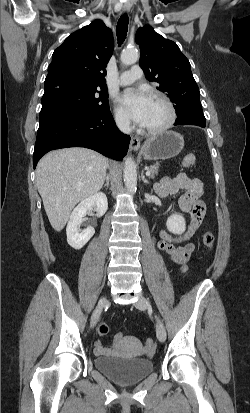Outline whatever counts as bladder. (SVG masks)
Segmentation results:
<instances>
[{
    "label": "bladder",
    "mask_w": 250,
    "mask_h": 413,
    "mask_svg": "<svg viewBox=\"0 0 250 413\" xmlns=\"http://www.w3.org/2000/svg\"><path fill=\"white\" fill-rule=\"evenodd\" d=\"M94 366L122 385L135 384L153 371V362L146 358H126L114 355L97 356Z\"/></svg>",
    "instance_id": "1"
}]
</instances>
